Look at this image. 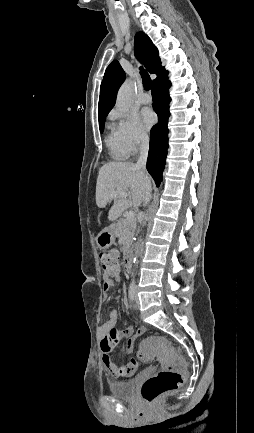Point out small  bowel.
Segmentation results:
<instances>
[{
	"mask_svg": "<svg viewBox=\"0 0 254 433\" xmlns=\"http://www.w3.org/2000/svg\"><path fill=\"white\" fill-rule=\"evenodd\" d=\"M115 282L108 277L104 279V291H108ZM119 318L117 310H111L105 319V322L100 328L102 335L101 350L103 352V363L108 370L109 374L115 379H125L131 377L138 368V360L135 358L130 359L126 364L117 365L111 357L112 352L117 348L121 341L126 338L124 343V352L129 354L132 352L134 343L138 337L141 336L139 329L133 333L132 329L126 327L123 329H116V323ZM142 329V328H141Z\"/></svg>",
	"mask_w": 254,
	"mask_h": 433,
	"instance_id": "obj_1",
	"label": "small bowel"
}]
</instances>
